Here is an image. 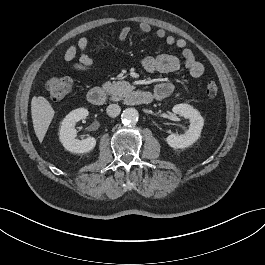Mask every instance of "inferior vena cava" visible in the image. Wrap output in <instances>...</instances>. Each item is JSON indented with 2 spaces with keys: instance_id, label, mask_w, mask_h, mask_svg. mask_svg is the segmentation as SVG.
<instances>
[{
  "instance_id": "1",
  "label": "inferior vena cava",
  "mask_w": 265,
  "mask_h": 265,
  "mask_svg": "<svg viewBox=\"0 0 265 265\" xmlns=\"http://www.w3.org/2000/svg\"><path fill=\"white\" fill-rule=\"evenodd\" d=\"M107 114L111 117H116L120 114L121 108L117 104H110L107 109Z\"/></svg>"
}]
</instances>
